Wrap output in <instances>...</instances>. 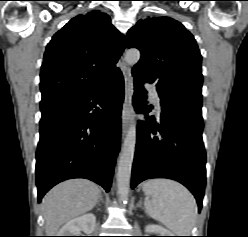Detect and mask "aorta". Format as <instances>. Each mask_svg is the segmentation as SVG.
<instances>
[{"label":"aorta","instance_id":"1","mask_svg":"<svg viewBox=\"0 0 248 237\" xmlns=\"http://www.w3.org/2000/svg\"><path fill=\"white\" fill-rule=\"evenodd\" d=\"M139 59L140 52L137 49H130L125 54V60L131 66L135 65ZM135 145L136 122L132 121L122 146L116 174L117 192L120 202L123 203L127 202L129 196V184L135 154Z\"/></svg>","mask_w":248,"mask_h":237}]
</instances>
